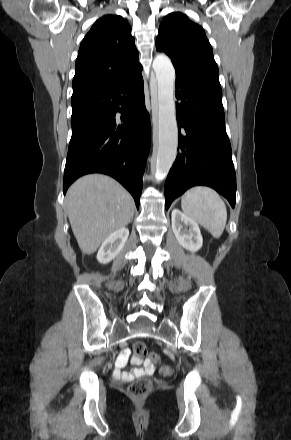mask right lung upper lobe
I'll list each match as a JSON object with an SVG mask.
<instances>
[{
    "label": "right lung upper lobe",
    "mask_w": 291,
    "mask_h": 440,
    "mask_svg": "<svg viewBox=\"0 0 291 440\" xmlns=\"http://www.w3.org/2000/svg\"><path fill=\"white\" fill-rule=\"evenodd\" d=\"M141 70L127 20L118 15L103 16L81 42L73 93L113 86Z\"/></svg>",
    "instance_id": "cb5924a9"
}]
</instances>
